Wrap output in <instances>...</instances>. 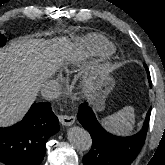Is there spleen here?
Here are the masks:
<instances>
[{
  "label": "spleen",
  "mask_w": 165,
  "mask_h": 165,
  "mask_svg": "<svg viewBox=\"0 0 165 165\" xmlns=\"http://www.w3.org/2000/svg\"><path fill=\"white\" fill-rule=\"evenodd\" d=\"M135 113L132 106L124 107L118 112L102 119L103 126L117 135H128L133 131Z\"/></svg>",
  "instance_id": "spleen-1"
}]
</instances>
